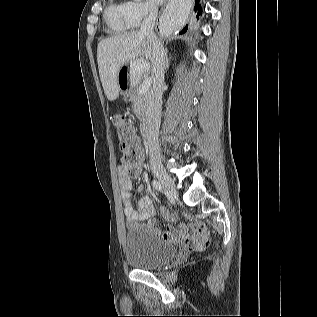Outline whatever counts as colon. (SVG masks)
<instances>
[{
    "label": "colon",
    "instance_id": "5ec220e1",
    "mask_svg": "<svg viewBox=\"0 0 317 317\" xmlns=\"http://www.w3.org/2000/svg\"><path fill=\"white\" fill-rule=\"evenodd\" d=\"M113 121L117 128L120 149L124 154L123 162L127 168V172L131 176H136L139 172L141 156L138 139L135 135L133 127L121 115L114 116ZM207 242L208 239L206 237L200 243L188 244V247L190 250L201 249L207 244Z\"/></svg>",
    "mask_w": 317,
    "mask_h": 317
}]
</instances>
